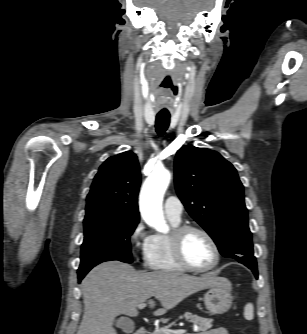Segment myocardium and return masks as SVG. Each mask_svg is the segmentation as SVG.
<instances>
[{
	"label": "myocardium",
	"mask_w": 307,
	"mask_h": 334,
	"mask_svg": "<svg viewBox=\"0 0 307 334\" xmlns=\"http://www.w3.org/2000/svg\"><path fill=\"white\" fill-rule=\"evenodd\" d=\"M191 232H198L202 234L211 244L214 250L215 258L211 265L207 267H197L192 265L184 252V241ZM170 246L172 254L176 262L185 270L193 272H207L214 269L220 262L221 252L214 237L204 228L196 225H180L176 226L169 235Z\"/></svg>",
	"instance_id": "f54148a6"
}]
</instances>
